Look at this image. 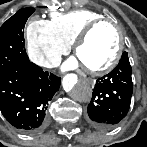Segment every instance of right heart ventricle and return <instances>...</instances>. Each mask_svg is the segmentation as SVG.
Listing matches in <instances>:
<instances>
[{
    "mask_svg": "<svg viewBox=\"0 0 147 147\" xmlns=\"http://www.w3.org/2000/svg\"><path fill=\"white\" fill-rule=\"evenodd\" d=\"M100 18L101 15L96 12L80 9L66 13H53L50 24L56 38L70 45L88 24Z\"/></svg>",
    "mask_w": 147,
    "mask_h": 147,
    "instance_id": "e07e8e85",
    "label": "right heart ventricle"
}]
</instances>
